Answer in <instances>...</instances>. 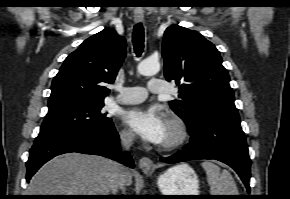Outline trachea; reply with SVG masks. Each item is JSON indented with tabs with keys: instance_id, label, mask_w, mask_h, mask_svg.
Returning a JSON list of instances; mask_svg holds the SVG:
<instances>
[{
	"instance_id": "obj_1",
	"label": "trachea",
	"mask_w": 290,
	"mask_h": 199,
	"mask_svg": "<svg viewBox=\"0 0 290 199\" xmlns=\"http://www.w3.org/2000/svg\"><path fill=\"white\" fill-rule=\"evenodd\" d=\"M133 46L136 55L139 57L144 49V28L141 23L134 26L133 29Z\"/></svg>"
}]
</instances>
